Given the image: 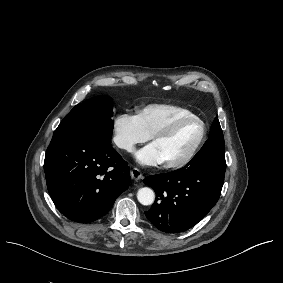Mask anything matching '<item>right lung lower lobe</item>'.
Listing matches in <instances>:
<instances>
[{
  "label": "right lung lower lobe",
  "mask_w": 283,
  "mask_h": 283,
  "mask_svg": "<svg viewBox=\"0 0 283 283\" xmlns=\"http://www.w3.org/2000/svg\"><path fill=\"white\" fill-rule=\"evenodd\" d=\"M44 171L58 210L81 223L107 214L130 183V168L110 143L80 136L52 138Z\"/></svg>",
  "instance_id": "obj_1"
}]
</instances>
